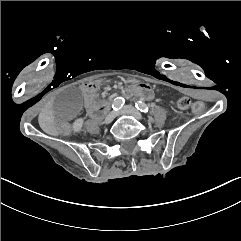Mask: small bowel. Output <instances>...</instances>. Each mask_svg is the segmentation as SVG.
<instances>
[{"mask_svg":"<svg viewBox=\"0 0 241 241\" xmlns=\"http://www.w3.org/2000/svg\"><path fill=\"white\" fill-rule=\"evenodd\" d=\"M99 84L97 82H89L81 86V91L84 96L85 106L88 114L91 116L93 110L97 107L96 92Z\"/></svg>","mask_w":241,"mask_h":241,"instance_id":"obj_1","label":"small bowel"}]
</instances>
